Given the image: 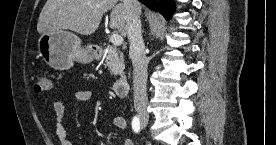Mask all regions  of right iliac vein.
Listing matches in <instances>:
<instances>
[{
  "instance_id": "1",
  "label": "right iliac vein",
  "mask_w": 276,
  "mask_h": 145,
  "mask_svg": "<svg viewBox=\"0 0 276 145\" xmlns=\"http://www.w3.org/2000/svg\"><path fill=\"white\" fill-rule=\"evenodd\" d=\"M141 120H142V122H147V121H148V118H147L146 116H142V117H141Z\"/></svg>"
}]
</instances>
